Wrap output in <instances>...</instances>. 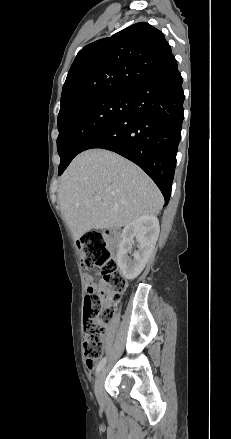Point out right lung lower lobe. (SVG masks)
<instances>
[{
    "label": "right lung lower lobe",
    "mask_w": 231,
    "mask_h": 439,
    "mask_svg": "<svg viewBox=\"0 0 231 439\" xmlns=\"http://www.w3.org/2000/svg\"><path fill=\"white\" fill-rule=\"evenodd\" d=\"M183 102L182 77L176 63L138 88L131 110L93 135L80 152L102 148L136 163L159 187L167 205L181 139Z\"/></svg>",
    "instance_id": "1"
}]
</instances>
